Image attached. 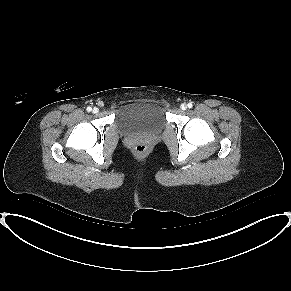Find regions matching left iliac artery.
<instances>
[{"label":"left iliac artery","instance_id":"left-iliac-artery-1","mask_svg":"<svg viewBox=\"0 0 291 291\" xmlns=\"http://www.w3.org/2000/svg\"><path fill=\"white\" fill-rule=\"evenodd\" d=\"M187 106H188V108H192L193 107L192 103H188Z\"/></svg>","mask_w":291,"mask_h":291}]
</instances>
